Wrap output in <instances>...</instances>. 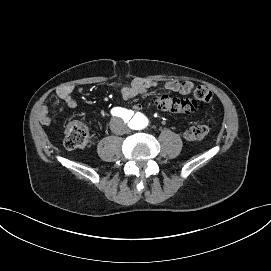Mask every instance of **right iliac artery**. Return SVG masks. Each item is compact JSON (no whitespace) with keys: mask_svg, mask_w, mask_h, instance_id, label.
Here are the masks:
<instances>
[{"mask_svg":"<svg viewBox=\"0 0 271 271\" xmlns=\"http://www.w3.org/2000/svg\"><path fill=\"white\" fill-rule=\"evenodd\" d=\"M111 113L113 116H118V117H121L123 119H126V120H129L130 117L132 115H129L130 111L124 109V108H121V107H114L112 110H111Z\"/></svg>","mask_w":271,"mask_h":271,"instance_id":"right-iliac-artery-1","label":"right iliac artery"}]
</instances>
